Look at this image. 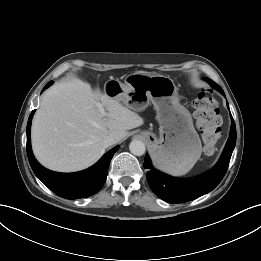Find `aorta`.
Instances as JSON below:
<instances>
[{
    "instance_id": "1",
    "label": "aorta",
    "mask_w": 261,
    "mask_h": 261,
    "mask_svg": "<svg viewBox=\"0 0 261 261\" xmlns=\"http://www.w3.org/2000/svg\"><path fill=\"white\" fill-rule=\"evenodd\" d=\"M129 150L135 156H142L146 151V147L142 141L132 140L129 145Z\"/></svg>"
}]
</instances>
